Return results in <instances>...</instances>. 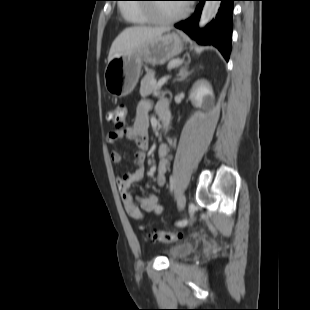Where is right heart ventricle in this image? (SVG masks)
<instances>
[{
	"label": "right heart ventricle",
	"instance_id": "right-heart-ventricle-1",
	"mask_svg": "<svg viewBox=\"0 0 310 310\" xmlns=\"http://www.w3.org/2000/svg\"><path fill=\"white\" fill-rule=\"evenodd\" d=\"M121 13L124 18L134 25H144L151 21L143 7L135 5H122Z\"/></svg>",
	"mask_w": 310,
	"mask_h": 310
}]
</instances>
